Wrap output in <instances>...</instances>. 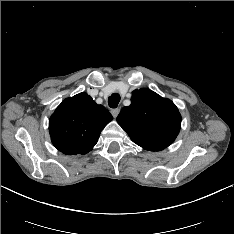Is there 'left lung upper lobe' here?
<instances>
[{"label":"left lung upper lobe","mask_w":234,"mask_h":234,"mask_svg":"<svg viewBox=\"0 0 234 234\" xmlns=\"http://www.w3.org/2000/svg\"><path fill=\"white\" fill-rule=\"evenodd\" d=\"M117 121L134 143L160 151L176 139L181 115L171 100L142 88L133 91L131 105L121 110Z\"/></svg>","instance_id":"left-lung-upper-lobe-1"}]
</instances>
